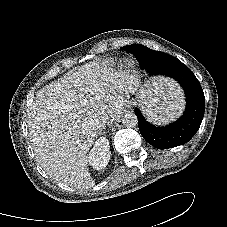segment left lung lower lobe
I'll use <instances>...</instances> for the list:
<instances>
[{
	"label": "left lung lower lobe",
	"mask_w": 227,
	"mask_h": 227,
	"mask_svg": "<svg viewBox=\"0 0 227 227\" xmlns=\"http://www.w3.org/2000/svg\"><path fill=\"white\" fill-rule=\"evenodd\" d=\"M129 51L137 58L141 68L147 70L150 75H165L177 80L183 87L187 100L184 114L165 127L151 125L136 108L135 114L141 135L149 144L158 149L172 148L187 143L198 131L205 111V97L199 81L193 72L178 59L168 61V63L160 62L164 58L160 51H154L140 44H136Z\"/></svg>",
	"instance_id": "1"
}]
</instances>
